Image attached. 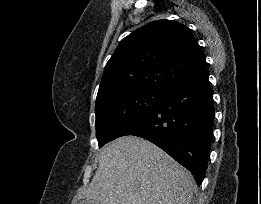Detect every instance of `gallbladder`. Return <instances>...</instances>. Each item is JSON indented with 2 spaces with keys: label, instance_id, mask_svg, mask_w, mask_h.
<instances>
[{
  "label": "gallbladder",
  "instance_id": "1",
  "mask_svg": "<svg viewBox=\"0 0 261 204\" xmlns=\"http://www.w3.org/2000/svg\"><path fill=\"white\" fill-rule=\"evenodd\" d=\"M77 204H96V202L92 199H82Z\"/></svg>",
  "mask_w": 261,
  "mask_h": 204
}]
</instances>
